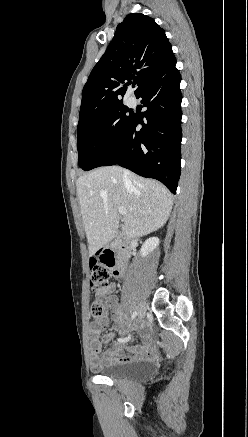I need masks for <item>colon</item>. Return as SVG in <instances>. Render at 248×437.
<instances>
[{"label":"colon","instance_id":"colon-1","mask_svg":"<svg viewBox=\"0 0 248 437\" xmlns=\"http://www.w3.org/2000/svg\"><path fill=\"white\" fill-rule=\"evenodd\" d=\"M113 262L106 257L93 258L90 261V286L92 290L98 291L107 284L110 277ZM103 304L99 298H95L91 303V314L96 321L103 317Z\"/></svg>","mask_w":248,"mask_h":437}]
</instances>
